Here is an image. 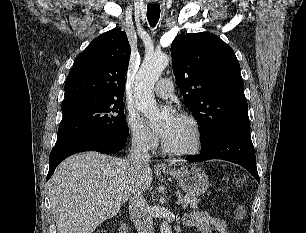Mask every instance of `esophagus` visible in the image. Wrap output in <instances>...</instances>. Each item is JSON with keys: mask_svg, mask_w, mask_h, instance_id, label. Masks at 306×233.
I'll return each mask as SVG.
<instances>
[{"mask_svg": "<svg viewBox=\"0 0 306 233\" xmlns=\"http://www.w3.org/2000/svg\"><path fill=\"white\" fill-rule=\"evenodd\" d=\"M159 167H164V164H159Z\"/></svg>", "mask_w": 306, "mask_h": 233, "instance_id": "34e87169", "label": "esophagus"}]
</instances>
